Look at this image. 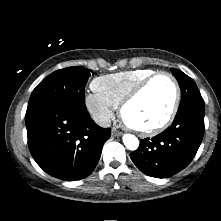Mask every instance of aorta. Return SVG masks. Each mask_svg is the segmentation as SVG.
I'll return each instance as SVG.
<instances>
[{"label":"aorta","mask_w":221,"mask_h":221,"mask_svg":"<svg viewBox=\"0 0 221 221\" xmlns=\"http://www.w3.org/2000/svg\"><path fill=\"white\" fill-rule=\"evenodd\" d=\"M123 143L127 149L132 151L136 150L139 146L138 138L132 134H125L123 136Z\"/></svg>","instance_id":"762f6f07"}]
</instances>
